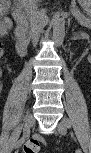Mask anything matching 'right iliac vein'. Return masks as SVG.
I'll use <instances>...</instances> for the list:
<instances>
[{
  "label": "right iliac vein",
  "instance_id": "63e3f726",
  "mask_svg": "<svg viewBox=\"0 0 91 153\" xmlns=\"http://www.w3.org/2000/svg\"><path fill=\"white\" fill-rule=\"evenodd\" d=\"M34 125V117L32 115H28L24 122L23 134L29 135L32 126Z\"/></svg>",
  "mask_w": 91,
  "mask_h": 153
}]
</instances>
